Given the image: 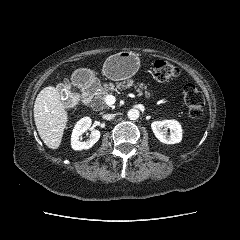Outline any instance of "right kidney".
I'll list each match as a JSON object with an SVG mask.
<instances>
[{
  "label": "right kidney",
  "mask_w": 240,
  "mask_h": 240,
  "mask_svg": "<svg viewBox=\"0 0 240 240\" xmlns=\"http://www.w3.org/2000/svg\"><path fill=\"white\" fill-rule=\"evenodd\" d=\"M91 124L92 120L90 117H84L76 123L71 135V146L74 150L89 149L99 140L100 131L96 129L92 130L90 140L86 142L79 140L80 136L90 129Z\"/></svg>",
  "instance_id": "ca27d5eb"
}]
</instances>
